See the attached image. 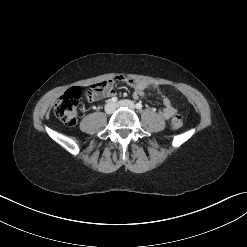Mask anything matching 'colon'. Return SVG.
Masks as SVG:
<instances>
[{
    "instance_id": "5ec220e1",
    "label": "colon",
    "mask_w": 247,
    "mask_h": 247,
    "mask_svg": "<svg viewBox=\"0 0 247 247\" xmlns=\"http://www.w3.org/2000/svg\"><path fill=\"white\" fill-rule=\"evenodd\" d=\"M108 81L92 85L88 90V96L92 97L104 91L108 87ZM81 89L73 87L67 90L56 102L54 106L55 116L65 125L72 126L76 123ZM183 126V116L176 114L171 120V128L178 130Z\"/></svg>"
}]
</instances>
